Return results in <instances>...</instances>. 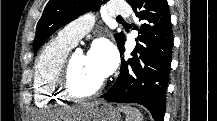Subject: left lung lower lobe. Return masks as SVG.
I'll use <instances>...</instances> for the list:
<instances>
[{
	"mask_svg": "<svg viewBox=\"0 0 217 121\" xmlns=\"http://www.w3.org/2000/svg\"><path fill=\"white\" fill-rule=\"evenodd\" d=\"M139 21L140 35L131 56L124 58V36L118 44L120 74L102 98L110 102L138 103L155 121H163L173 48V32L166 0H128Z\"/></svg>",
	"mask_w": 217,
	"mask_h": 121,
	"instance_id": "left-lung-lower-lobe-1",
	"label": "left lung lower lobe"
}]
</instances>
